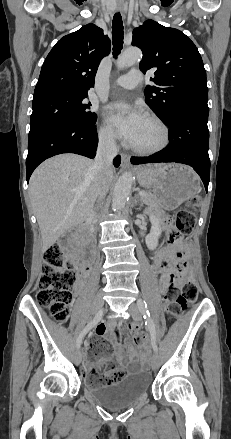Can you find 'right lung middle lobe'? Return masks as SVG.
<instances>
[{
    "instance_id": "1",
    "label": "right lung middle lobe",
    "mask_w": 231,
    "mask_h": 439,
    "mask_svg": "<svg viewBox=\"0 0 231 439\" xmlns=\"http://www.w3.org/2000/svg\"><path fill=\"white\" fill-rule=\"evenodd\" d=\"M88 95L52 93L34 98L30 130L59 120H78L87 123L96 122L97 115L89 111L91 103L86 101Z\"/></svg>"
}]
</instances>
